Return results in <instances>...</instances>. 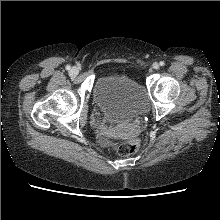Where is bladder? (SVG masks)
<instances>
[{
    "instance_id": "obj_1",
    "label": "bladder",
    "mask_w": 220,
    "mask_h": 220,
    "mask_svg": "<svg viewBox=\"0 0 220 220\" xmlns=\"http://www.w3.org/2000/svg\"><path fill=\"white\" fill-rule=\"evenodd\" d=\"M93 97L106 119L115 124L133 121L148 107L142 85L121 73L100 76L94 85Z\"/></svg>"
}]
</instances>
